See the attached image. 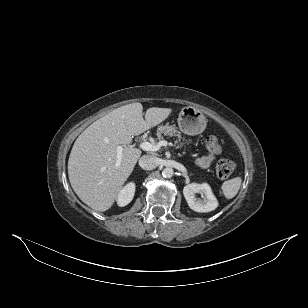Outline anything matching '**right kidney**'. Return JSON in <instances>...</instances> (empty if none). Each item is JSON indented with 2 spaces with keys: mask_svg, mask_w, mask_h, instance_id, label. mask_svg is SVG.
Masks as SVG:
<instances>
[{
  "mask_svg": "<svg viewBox=\"0 0 308 308\" xmlns=\"http://www.w3.org/2000/svg\"><path fill=\"white\" fill-rule=\"evenodd\" d=\"M135 193V184L134 183H129L127 184L119 193L117 197V204L121 207L126 206L129 204Z\"/></svg>",
  "mask_w": 308,
  "mask_h": 308,
  "instance_id": "right-kidney-1",
  "label": "right kidney"
}]
</instances>
